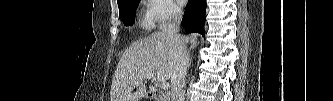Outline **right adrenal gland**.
<instances>
[{"label": "right adrenal gland", "mask_w": 333, "mask_h": 101, "mask_svg": "<svg viewBox=\"0 0 333 101\" xmlns=\"http://www.w3.org/2000/svg\"><path fill=\"white\" fill-rule=\"evenodd\" d=\"M191 63H192V55H191V53L189 52V53H188V67L191 66Z\"/></svg>", "instance_id": "right-adrenal-gland-1"}]
</instances>
